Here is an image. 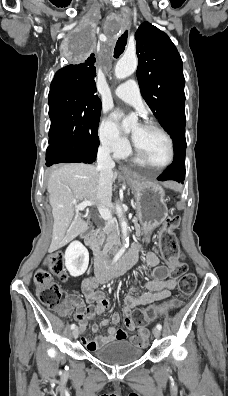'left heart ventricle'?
Instances as JSON below:
<instances>
[{"instance_id":"1","label":"left heart ventricle","mask_w":228,"mask_h":396,"mask_svg":"<svg viewBox=\"0 0 228 396\" xmlns=\"http://www.w3.org/2000/svg\"><path fill=\"white\" fill-rule=\"evenodd\" d=\"M134 143L153 165L164 164L170 155L167 139L157 130L135 125L131 130Z\"/></svg>"}]
</instances>
